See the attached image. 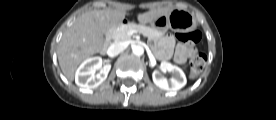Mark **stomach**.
<instances>
[{
	"instance_id": "obj_1",
	"label": "stomach",
	"mask_w": 276,
	"mask_h": 120,
	"mask_svg": "<svg viewBox=\"0 0 276 120\" xmlns=\"http://www.w3.org/2000/svg\"><path fill=\"white\" fill-rule=\"evenodd\" d=\"M150 25L152 29L161 33L168 29L174 32H190L196 28L197 21L191 12L174 8L168 14L161 15L150 22Z\"/></svg>"
}]
</instances>
